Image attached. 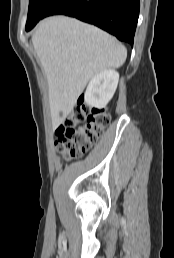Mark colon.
<instances>
[{"mask_svg": "<svg viewBox=\"0 0 174 258\" xmlns=\"http://www.w3.org/2000/svg\"><path fill=\"white\" fill-rule=\"evenodd\" d=\"M109 123L110 114L106 110L89 109L80 97L56 130V148L66 159L80 158L97 142Z\"/></svg>", "mask_w": 174, "mask_h": 258, "instance_id": "obj_1", "label": "colon"}]
</instances>
